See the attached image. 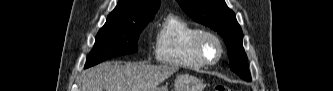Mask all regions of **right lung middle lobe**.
Masks as SVG:
<instances>
[{"instance_id": "right-lung-middle-lobe-1", "label": "right lung middle lobe", "mask_w": 333, "mask_h": 91, "mask_svg": "<svg viewBox=\"0 0 333 91\" xmlns=\"http://www.w3.org/2000/svg\"><path fill=\"white\" fill-rule=\"evenodd\" d=\"M152 19L106 21L97 34L95 45L90 52L85 68L115 56L137 52L139 35Z\"/></svg>"}]
</instances>
